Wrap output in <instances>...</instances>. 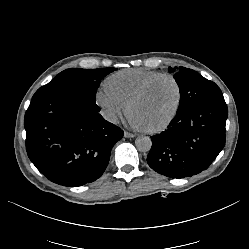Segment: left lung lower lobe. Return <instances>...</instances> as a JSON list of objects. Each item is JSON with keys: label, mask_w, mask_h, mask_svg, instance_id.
<instances>
[{"label": "left lung lower lobe", "mask_w": 249, "mask_h": 249, "mask_svg": "<svg viewBox=\"0 0 249 249\" xmlns=\"http://www.w3.org/2000/svg\"><path fill=\"white\" fill-rule=\"evenodd\" d=\"M227 116L224 98L197 103L177 114L164 132L151 137L149 166L177 179L207 169L225 145Z\"/></svg>", "instance_id": "0a47b994"}]
</instances>
